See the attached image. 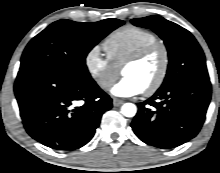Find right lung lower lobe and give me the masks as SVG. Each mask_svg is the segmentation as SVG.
Here are the masks:
<instances>
[{"label": "right lung lower lobe", "instance_id": "obj_1", "mask_svg": "<svg viewBox=\"0 0 220 173\" xmlns=\"http://www.w3.org/2000/svg\"><path fill=\"white\" fill-rule=\"evenodd\" d=\"M15 95L28 134L55 150L84 146L112 108L92 78L74 80L50 70H20Z\"/></svg>", "mask_w": 220, "mask_h": 173}]
</instances>
